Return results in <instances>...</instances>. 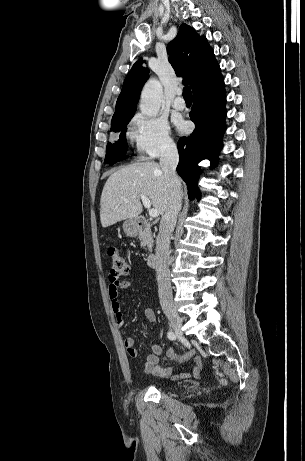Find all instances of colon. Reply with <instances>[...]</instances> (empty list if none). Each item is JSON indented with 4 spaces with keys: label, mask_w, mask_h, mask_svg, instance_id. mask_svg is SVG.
<instances>
[{
    "label": "colon",
    "mask_w": 305,
    "mask_h": 461,
    "mask_svg": "<svg viewBox=\"0 0 305 461\" xmlns=\"http://www.w3.org/2000/svg\"><path fill=\"white\" fill-rule=\"evenodd\" d=\"M108 255L111 262L110 275L112 277L118 278L120 276H126L130 273L129 264L116 248H110L108 250Z\"/></svg>",
    "instance_id": "5ec220e1"
}]
</instances>
